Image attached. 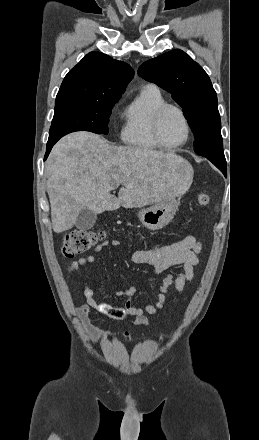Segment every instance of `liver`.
<instances>
[{"label": "liver", "instance_id": "obj_1", "mask_svg": "<svg viewBox=\"0 0 259 440\" xmlns=\"http://www.w3.org/2000/svg\"><path fill=\"white\" fill-rule=\"evenodd\" d=\"M45 172L55 233L71 229L83 208L100 214L175 198L193 176L191 165L174 153L114 146L84 131L56 143ZM120 184L117 198L111 191Z\"/></svg>", "mask_w": 259, "mask_h": 440}]
</instances>
